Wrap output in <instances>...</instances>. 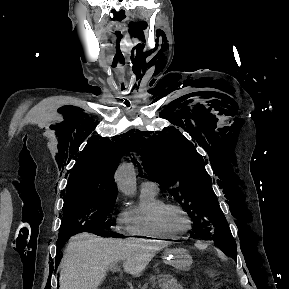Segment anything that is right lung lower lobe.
<instances>
[{
  "label": "right lung lower lobe",
  "mask_w": 289,
  "mask_h": 289,
  "mask_svg": "<svg viewBox=\"0 0 289 289\" xmlns=\"http://www.w3.org/2000/svg\"><path fill=\"white\" fill-rule=\"evenodd\" d=\"M64 242L66 241H62V240L57 241L56 265H58L60 262V252H61V248Z\"/></svg>",
  "instance_id": "obj_1"
}]
</instances>
